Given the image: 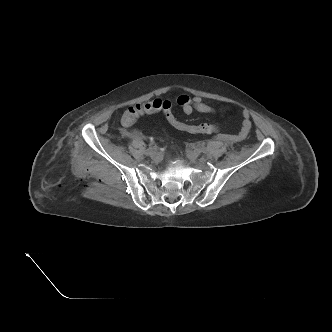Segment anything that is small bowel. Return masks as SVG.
<instances>
[{
	"label": "small bowel",
	"instance_id": "1",
	"mask_svg": "<svg viewBox=\"0 0 332 332\" xmlns=\"http://www.w3.org/2000/svg\"><path fill=\"white\" fill-rule=\"evenodd\" d=\"M177 103L181 107L182 112L185 115H190L194 111H197L199 113H214L215 109L205 103L203 99L199 96H188V95H179L177 97ZM251 120H250V114L248 111H243L242 113V123L240 131L237 135L238 140H243L247 137L251 130Z\"/></svg>",
	"mask_w": 332,
	"mask_h": 332
}]
</instances>
